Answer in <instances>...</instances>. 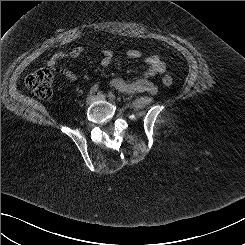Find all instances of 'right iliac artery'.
Wrapping results in <instances>:
<instances>
[{
  "mask_svg": "<svg viewBox=\"0 0 245 245\" xmlns=\"http://www.w3.org/2000/svg\"><path fill=\"white\" fill-rule=\"evenodd\" d=\"M98 95H102V92H101V91H99V92L97 93V96H98Z\"/></svg>",
  "mask_w": 245,
  "mask_h": 245,
  "instance_id": "right-iliac-artery-1",
  "label": "right iliac artery"
}]
</instances>
